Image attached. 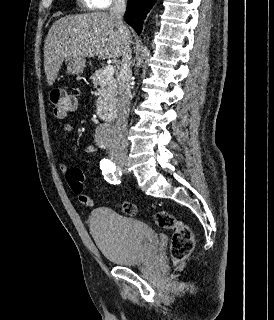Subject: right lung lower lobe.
I'll use <instances>...</instances> for the list:
<instances>
[{"label": "right lung lower lobe", "instance_id": "98d812e1", "mask_svg": "<svg viewBox=\"0 0 274 320\" xmlns=\"http://www.w3.org/2000/svg\"><path fill=\"white\" fill-rule=\"evenodd\" d=\"M156 0H128L124 20L139 35L142 31L143 20Z\"/></svg>", "mask_w": 274, "mask_h": 320}]
</instances>
